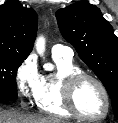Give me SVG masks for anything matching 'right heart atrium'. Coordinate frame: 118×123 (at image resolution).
Wrapping results in <instances>:
<instances>
[{
	"mask_svg": "<svg viewBox=\"0 0 118 123\" xmlns=\"http://www.w3.org/2000/svg\"><path fill=\"white\" fill-rule=\"evenodd\" d=\"M41 76L36 59L32 55L26 57L18 66L15 82L19 97L23 102L35 100Z\"/></svg>",
	"mask_w": 118,
	"mask_h": 123,
	"instance_id": "1",
	"label": "right heart atrium"
}]
</instances>
